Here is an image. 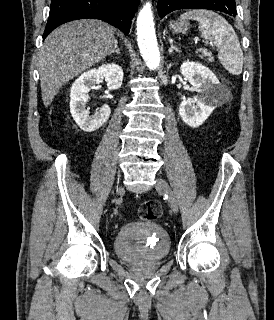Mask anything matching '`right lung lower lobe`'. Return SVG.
I'll return each mask as SVG.
<instances>
[{
    "label": "right lung lower lobe",
    "mask_w": 274,
    "mask_h": 320,
    "mask_svg": "<svg viewBox=\"0 0 274 320\" xmlns=\"http://www.w3.org/2000/svg\"><path fill=\"white\" fill-rule=\"evenodd\" d=\"M138 4L139 0H52L43 39L63 23L86 18L103 20L127 35Z\"/></svg>",
    "instance_id": "right-lung-lower-lobe-1"
}]
</instances>
